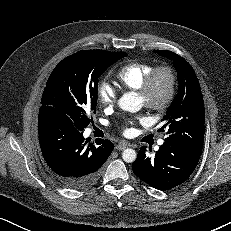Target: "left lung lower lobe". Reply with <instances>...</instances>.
<instances>
[{"mask_svg":"<svg viewBox=\"0 0 231 231\" xmlns=\"http://www.w3.org/2000/svg\"><path fill=\"white\" fill-rule=\"evenodd\" d=\"M202 148L183 147L164 142L154 158L146 156V147L138 152L133 172L151 187L165 191L179 186L193 173Z\"/></svg>","mask_w":231,"mask_h":231,"instance_id":"0a47b994","label":"left lung lower lobe"}]
</instances>
